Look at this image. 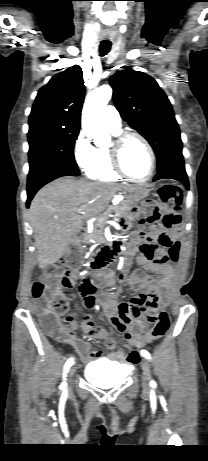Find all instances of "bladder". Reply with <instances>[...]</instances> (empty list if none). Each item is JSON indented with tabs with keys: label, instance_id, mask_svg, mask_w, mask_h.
<instances>
[{
	"label": "bladder",
	"instance_id": "1",
	"mask_svg": "<svg viewBox=\"0 0 208 461\" xmlns=\"http://www.w3.org/2000/svg\"><path fill=\"white\" fill-rule=\"evenodd\" d=\"M129 368L107 359L95 360L85 368L84 376L92 384L109 388L123 381Z\"/></svg>",
	"mask_w": 208,
	"mask_h": 461
}]
</instances>
